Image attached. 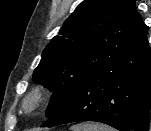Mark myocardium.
Wrapping results in <instances>:
<instances>
[{"mask_svg":"<svg viewBox=\"0 0 151 131\" xmlns=\"http://www.w3.org/2000/svg\"><path fill=\"white\" fill-rule=\"evenodd\" d=\"M48 97V91L42 87L31 90L21 102L22 109L26 113H31L40 108Z\"/></svg>","mask_w":151,"mask_h":131,"instance_id":"1","label":"myocardium"}]
</instances>
